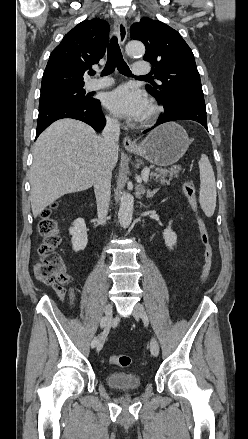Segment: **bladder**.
<instances>
[{
    "instance_id": "1",
    "label": "bladder",
    "mask_w": 248,
    "mask_h": 439,
    "mask_svg": "<svg viewBox=\"0 0 248 439\" xmlns=\"http://www.w3.org/2000/svg\"><path fill=\"white\" fill-rule=\"evenodd\" d=\"M105 381L109 387L120 391L138 390L143 384L142 378L139 375L129 372L108 373Z\"/></svg>"
}]
</instances>
